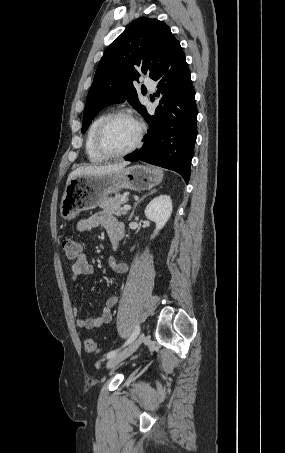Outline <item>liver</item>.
<instances>
[{
	"label": "liver",
	"instance_id": "liver-1",
	"mask_svg": "<svg viewBox=\"0 0 285 453\" xmlns=\"http://www.w3.org/2000/svg\"><path fill=\"white\" fill-rule=\"evenodd\" d=\"M129 162H121L118 164H111L106 166H81L77 169L73 170L67 179V183H69L72 179L77 176H94V175H101L106 173H111L114 171H118L125 166H127Z\"/></svg>",
	"mask_w": 285,
	"mask_h": 453
}]
</instances>
